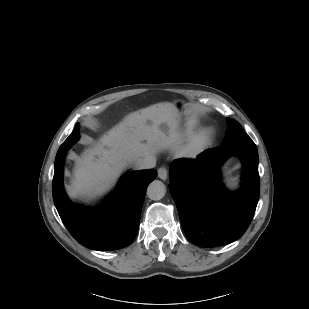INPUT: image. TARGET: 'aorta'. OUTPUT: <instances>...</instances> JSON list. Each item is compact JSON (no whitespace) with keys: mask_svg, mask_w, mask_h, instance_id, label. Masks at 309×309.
<instances>
[{"mask_svg":"<svg viewBox=\"0 0 309 309\" xmlns=\"http://www.w3.org/2000/svg\"><path fill=\"white\" fill-rule=\"evenodd\" d=\"M166 187L163 182L159 180L152 181L147 188V196L151 200H160L165 196Z\"/></svg>","mask_w":309,"mask_h":309,"instance_id":"aorta-1","label":"aorta"}]
</instances>
